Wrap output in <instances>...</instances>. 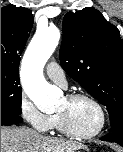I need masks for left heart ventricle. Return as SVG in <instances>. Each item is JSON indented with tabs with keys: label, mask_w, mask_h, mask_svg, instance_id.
Returning a JSON list of instances; mask_svg holds the SVG:
<instances>
[{
	"label": "left heart ventricle",
	"mask_w": 123,
	"mask_h": 152,
	"mask_svg": "<svg viewBox=\"0 0 123 152\" xmlns=\"http://www.w3.org/2000/svg\"><path fill=\"white\" fill-rule=\"evenodd\" d=\"M58 112L66 113L73 128L80 133H90L100 124V113L96 106L86 99L69 102L63 98Z\"/></svg>",
	"instance_id": "obj_1"
}]
</instances>
